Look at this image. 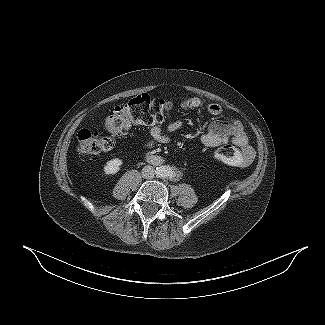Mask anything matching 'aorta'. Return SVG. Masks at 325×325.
<instances>
[{"instance_id": "obj_1", "label": "aorta", "mask_w": 325, "mask_h": 325, "mask_svg": "<svg viewBox=\"0 0 325 325\" xmlns=\"http://www.w3.org/2000/svg\"><path fill=\"white\" fill-rule=\"evenodd\" d=\"M156 175L159 178H168L174 175V171L169 166H160L156 169Z\"/></svg>"}]
</instances>
